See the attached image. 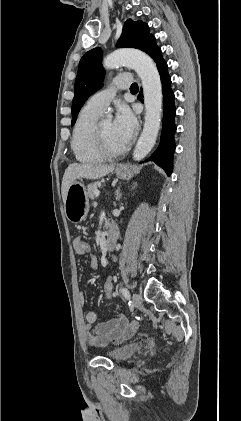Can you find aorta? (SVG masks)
Listing matches in <instances>:
<instances>
[{
  "mask_svg": "<svg viewBox=\"0 0 241 421\" xmlns=\"http://www.w3.org/2000/svg\"><path fill=\"white\" fill-rule=\"evenodd\" d=\"M121 65L133 68L139 75L145 102V122L133 152V159L141 161L155 145L160 129L162 113V86L160 75L153 60L137 49H119L108 55L104 61L105 69H113Z\"/></svg>",
  "mask_w": 241,
  "mask_h": 421,
  "instance_id": "1",
  "label": "aorta"
}]
</instances>
